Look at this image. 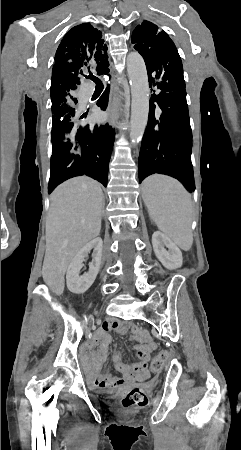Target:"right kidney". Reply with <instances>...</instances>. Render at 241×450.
I'll return each mask as SVG.
<instances>
[{
    "mask_svg": "<svg viewBox=\"0 0 241 450\" xmlns=\"http://www.w3.org/2000/svg\"><path fill=\"white\" fill-rule=\"evenodd\" d=\"M103 242L102 238H94L83 246L76 256H74L66 274L67 288L73 294H84L92 286L100 268L102 258ZM92 252V262L89 264V272L80 276V270L83 268L84 258H88L89 252Z\"/></svg>",
    "mask_w": 241,
    "mask_h": 450,
    "instance_id": "obj_1",
    "label": "right kidney"
}]
</instances>
